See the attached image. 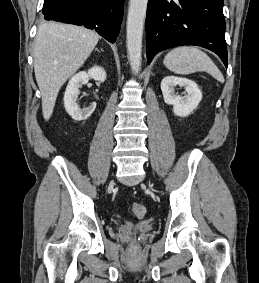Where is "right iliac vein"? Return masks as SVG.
<instances>
[{
    "mask_svg": "<svg viewBox=\"0 0 259 283\" xmlns=\"http://www.w3.org/2000/svg\"><path fill=\"white\" fill-rule=\"evenodd\" d=\"M114 181H111L110 186L113 187L114 186Z\"/></svg>",
    "mask_w": 259,
    "mask_h": 283,
    "instance_id": "63e3f726",
    "label": "right iliac vein"
}]
</instances>
